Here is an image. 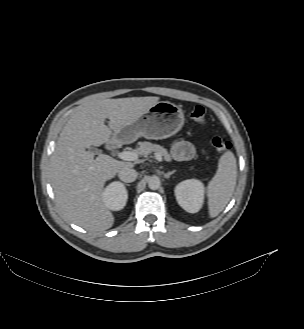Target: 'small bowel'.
I'll use <instances>...</instances> for the list:
<instances>
[{
    "label": "small bowel",
    "mask_w": 304,
    "mask_h": 329,
    "mask_svg": "<svg viewBox=\"0 0 304 329\" xmlns=\"http://www.w3.org/2000/svg\"><path fill=\"white\" fill-rule=\"evenodd\" d=\"M172 155L178 161H188L194 157L195 150L191 143L179 141L172 146Z\"/></svg>",
    "instance_id": "small-bowel-1"
}]
</instances>
